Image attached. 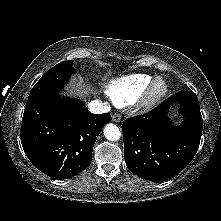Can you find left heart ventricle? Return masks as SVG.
<instances>
[{
	"instance_id": "left-heart-ventricle-1",
	"label": "left heart ventricle",
	"mask_w": 221,
	"mask_h": 221,
	"mask_svg": "<svg viewBox=\"0 0 221 221\" xmlns=\"http://www.w3.org/2000/svg\"><path fill=\"white\" fill-rule=\"evenodd\" d=\"M162 88V83H158L156 86V90H160Z\"/></svg>"
}]
</instances>
